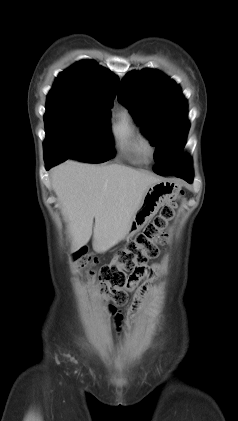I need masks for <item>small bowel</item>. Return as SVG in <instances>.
<instances>
[{"instance_id":"1","label":"small bowel","mask_w":238,"mask_h":421,"mask_svg":"<svg viewBox=\"0 0 238 421\" xmlns=\"http://www.w3.org/2000/svg\"><path fill=\"white\" fill-rule=\"evenodd\" d=\"M153 275V269L152 268H148V267H142L139 268L138 270H136L132 275V287L136 286L145 276H149L151 277ZM149 287L145 286L142 290V293L139 297V301H142L148 293Z\"/></svg>"}]
</instances>
